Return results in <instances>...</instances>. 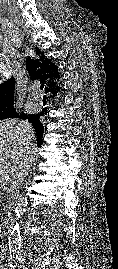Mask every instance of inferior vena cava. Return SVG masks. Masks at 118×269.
I'll return each mask as SVG.
<instances>
[{
	"mask_svg": "<svg viewBox=\"0 0 118 269\" xmlns=\"http://www.w3.org/2000/svg\"><path fill=\"white\" fill-rule=\"evenodd\" d=\"M34 162V157L29 150H27L26 155H24L19 171L17 173V179L19 182H22L26 177L28 171L31 169Z\"/></svg>",
	"mask_w": 118,
	"mask_h": 269,
	"instance_id": "obj_1",
	"label": "inferior vena cava"
}]
</instances>
